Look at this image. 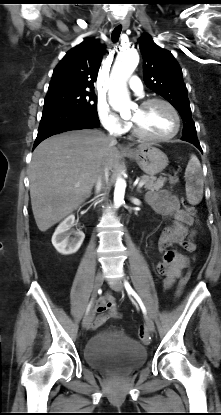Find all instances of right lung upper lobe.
<instances>
[{"label": "right lung upper lobe", "instance_id": "right-lung-upper-lobe-1", "mask_svg": "<svg viewBox=\"0 0 221 415\" xmlns=\"http://www.w3.org/2000/svg\"><path fill=\"white\" fill-rule=\"evenodd\" d=\"M99 41L87 38L68 51L54 69L48 93L63 90H88L94 87L102 61Z\"/></svg>", "mask_w": 221, "mask_h": 415}]
</instances>
